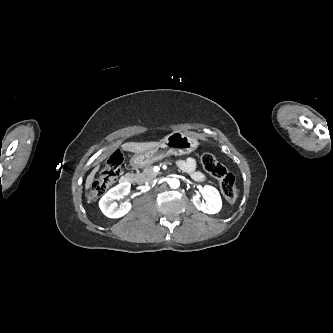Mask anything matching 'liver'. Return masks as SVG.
<instances>
[{
    "mask_svg": "<svg viewBox=\"0 0 333 333\" xmlns=\"http://www.w3.org/2000/svg\"><path fill=\"white\" fill-rule=\"evenodd\" d=\"M158 145H159V142H127V143L122 144L121 148L124 151L141 153L146 150L155 148ZM98 170H99V165L96 166L92 170V172L87 176L86 183H85L86 190H88L91 187V185L94 181V176Z\"/></svg>",
    "mask_w": 333,
    "mask_h": 333,
    "instance_id": "6515ba94",
    "label": "liver"
}]
</instances>
